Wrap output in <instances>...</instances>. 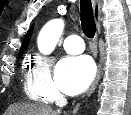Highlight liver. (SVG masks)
I'll return each mask as SVG.
<instances>
[{"label":"liver","mask_w":131,"mask_h":115,"mask_svg":"<svg viewBox=\"0 0 131 115\" xmlns=\"http://www.w3.org/2000/svg\"><path fill=\"white\" fill-rule=\"evenodd\" d=\"M5 115H58L52 108L37 104H14Z\"/></svg>","instance_id":"liver-1"}]
</instances>
